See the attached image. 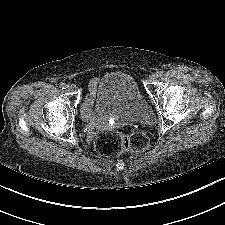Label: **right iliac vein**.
Listing matches in <instances>:
<instances>
[{
	"label": "right iliac vein",
	"instance_id": "1",
	"mask_svg": "<svg viewBox=\"0 0 225 225\" xmlns=\"http://www.w3.org/2000/svg\"><path fill=\"white\" fill-rule=\"evenodd\" d=\"M67 90H68L69 92H72V91L74 90V86H73V85H68V86H67Z\"/></svg>",
	"mask_w": 225,
	"mask_h": 225
}]
</instances>
